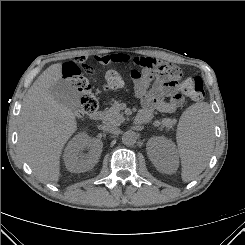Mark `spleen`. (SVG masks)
I'll use <instances>...</instances> for the list:
<instances>
[{
    "instance_id": "spleen-1",
    "label": "spleen",
    "mask_w": 245,
    "mask_h": 245,
    "mask_svg": "<svg viewBox=\"0 0 245 245\" xmlns=\"http://www.w3.org/2000/svg\"><path fill=\"white\" fill-rule=\"evenodd\" d=\"M212 118L206 102L191 105L180 117L176 139L184 182L195 179L207 166L214 143Z\"/></svg>"
}]
</instances>
